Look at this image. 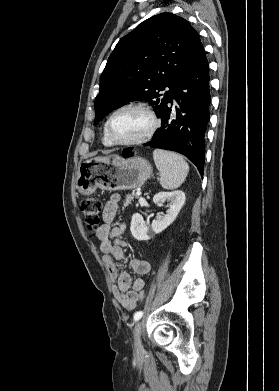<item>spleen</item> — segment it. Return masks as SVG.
Segmentation results:
<instances>
[{"instance_id":"1","label":"spleen","mask_w":279,"mask_h":391,"mask_svg":"<svg viewBox=\"0 0 279 391\" xmlns=\"http://www.w3.org/2000/svg\"><path fill=\"white\" fill-rule=\"evenodd\" d=\"M153 159L160 172V184L164 189H176L184 182L189 166L182 156L174 152L155 149Z\"/></svg>"}]
</instances>
